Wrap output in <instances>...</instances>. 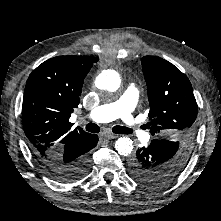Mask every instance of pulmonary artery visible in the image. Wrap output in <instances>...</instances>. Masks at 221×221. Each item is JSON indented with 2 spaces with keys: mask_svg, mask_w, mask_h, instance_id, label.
Listing matches in <instances>:
<instances>
[{
  "mask_svg": "<svg viewBox=\"0 0 221 221\" xmlns=\"http://www.w3.org/2000/svg\"><path fill=\"white\" fill-rule=\"evenodd\" d=\"M138 96L137 87L131 84L126 87L118 99L94 108L87 114L86 118L98 123L120 118L124 123V127L128 128L132 134L145 137L147 133L140 128L138 120L133 115Z\"/></svg>",
  "mask_w": 221,
  "mask_h": 221,
  "instance_id": "obj_1",
  "label": "pulmonary artery"
}]
</instances>
